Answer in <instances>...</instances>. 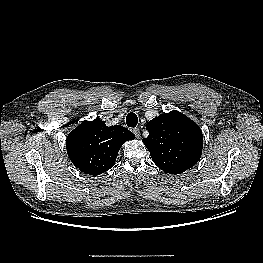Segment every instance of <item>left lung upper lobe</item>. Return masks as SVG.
<instances>
[{"mask_svg":"<svg viewBox=\"0 0 263 263\" xmlns=\"http://www.w3.org/2000/svg\"><path fill=\"white\" fill-rule=\"evenodd\" d=\"M143 143L155 164L167 173L179 174L200 159L203 137L198 126L172 114L160 115L147 124Z\"/></svg>","mask_w":263,"mask_h":263,"instance_id":"left-lung-upper-lobe-1","label":"left lung upper lobe"}]
</instances>
